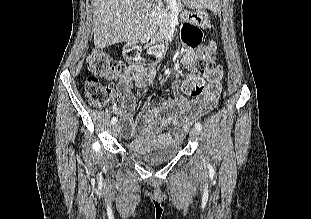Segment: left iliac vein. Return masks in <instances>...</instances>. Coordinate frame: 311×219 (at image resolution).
<instances>
[{"label": "left iliac vein", "mask_w": 311, "mask_h": 219, "mask_svg": "<svg viewBox=\"0 0 311 219\" xmlns=\"http://www.w3.org/2000/svg\"><path fill=\"white\" fill-rule=\"evenodd\" d=\"M190 138L193 141H197L199 139V131L196 128H192L190 130Z\"/></svg>", "instance_id": "4c4485c4"}]
</instances>
